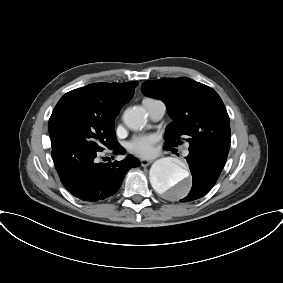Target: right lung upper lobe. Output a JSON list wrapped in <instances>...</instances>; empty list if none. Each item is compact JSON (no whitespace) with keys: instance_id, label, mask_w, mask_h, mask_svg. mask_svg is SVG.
<instances>
[{"instance_id":"right-lung-upper-lobe-1","label":"right lung upper lobe","mask_w":283,"mask_h":283,"mask_svg":"<svg viewBox=\"0 0 283 283\" xmlns=\"http://www.w3.org/2000/svg\"><path fill=\"white\" fill-rule=\"evenodd\" d=\"M136 81L127 83H94L66 93L57 106L71 99L94 113L101 121L111 124L120 109L134 95Z\"/></svg>"}]
</instances>
